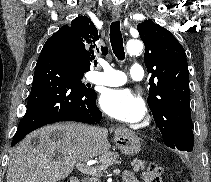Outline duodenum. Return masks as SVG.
<instances>
[{
    "label": "duodenum",
    "instance_id": "1",
    "mask_svg": "<svg viewBox=\"0 0 211 182\" xmlns=\"http://www.w3.org/2000/svg\"><path fill=\"white\" fill-rule=\"evenodd\" d=\"M69 182H80L77 177H72Z\"/></svg>",
    "mask_w": 211,
    "mask_h": 182
}]
</instances>
